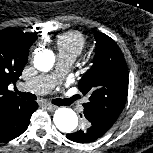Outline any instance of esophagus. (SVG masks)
Returning a JSON list of instances; mask_svg holds the SVG:
<instances>
[{
  "label": "esophagus",
  "instance_id": "esophagus-1",
  "mask_svg": "<svg viewBox=\"0 0 153 153\" xmlns=\"http://www.w3.org/2000/svg\"><path fill=\"white\" fill-rule=\"evenodd\" d=\"M45 108L48 109L49 111H54L57 106L52 105V104H44Z\"/></svg>",
  "mask_w": 153,
  "mask_h": 153
}]
</instances>
